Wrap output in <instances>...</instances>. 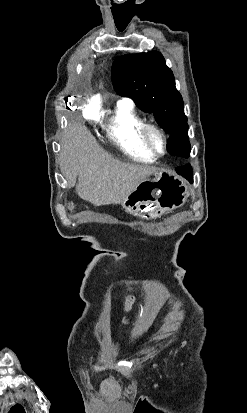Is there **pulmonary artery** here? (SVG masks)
Wrapping results in <instances>:
<instances>
[{
  "instance_id": "obj_1",
  "label": "pulmonary artery",
  "mask_w": 247,
  "mask_h": 413,
  "mask_svg": "<svg viewBox=\"0 0 247 413\" xmlns=\"http://www.w3.org/2000/svg\"><path fill=\"white\" fill-rule=\"evenodd\" d=\"M124 100H126V101H130V99H129V98H125Z\"/></svg>"
}]
</instances>
